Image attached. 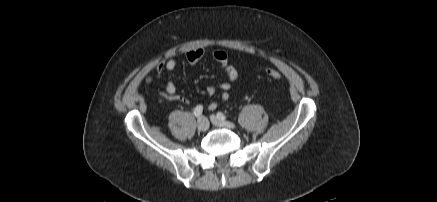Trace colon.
I'll list each match as a JSON object with an SVG mask.
<instances>
[{
  "mask_svg": "<svg viewBox=\"0 0 437 202\" xmlns=\"http://www.w3.org/2000/svg\"><path fill=\"white\" fill-rule=\"evenodd\" d=\"M265 72H266L267 76L272 78V79L278 80L281 78V73L276 69L268 68V69H266Z\"/></svg>",
  "mask_w": 437,
  "mask_h": 202,
  "instance_id": "1",
  "label": "colon"
}]
</instances>
